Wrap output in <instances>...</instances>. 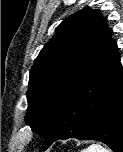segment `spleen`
<instances>
[{"label": "spleen", "instance_id": "3e777b00", "mask_svg": "<svg viewBox=\"0 0 123 152\" xmlns=\"http://www.w3.org/2000/svg\"><path fill=\"white\" fill-rule=\"evenodd\" d=\"M82 152H110V151L105 149L101 145L92 144L87 149L83 150Z\"/></svg>", "mask_w": 123, "mask_h": 152}]
</instances>
